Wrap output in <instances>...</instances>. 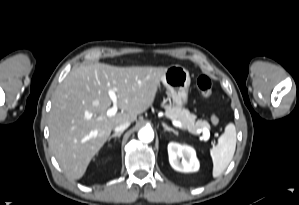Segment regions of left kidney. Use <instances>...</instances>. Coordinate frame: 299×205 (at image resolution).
<instances>
[{
  "label": "left kidney",
  "instance_id": "obj_1",
  "mask_svg": "<svg viewBox=\"0 0 299 205\" xmlns=\"http://www.w3.org/2000/svg\"><path fill=\"white\" fill-rule=\"evenodd\" d=\"M168 155L169 162L176 171L196 172L199 169L196 152L190 146L170 142L168 144Z\"/></svg>",
  "mask_w": 299,
  "mask_h": 205
}]
</instances>
